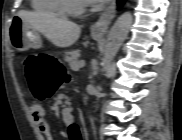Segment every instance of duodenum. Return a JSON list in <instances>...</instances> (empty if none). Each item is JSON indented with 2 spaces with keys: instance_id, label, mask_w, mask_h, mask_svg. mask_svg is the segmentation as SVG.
<instances>
[{
  "instance_id": "obj_1",
  "label": "duodenum",
  "mask_w": 182,
  "mask_h": 140,
  "mask_svg": "<svg viewBox=\"0 0 182 140\" xmlns=\"http://www.w3.org/2000/svg\"><path fill=\"white\" fill-rule=\"evenodd\" d=\"M72 113H73L72 111H67V112H66V116H67L68 118H70V117H72V116H71Z\"/></svg>"
}]
</instances>
